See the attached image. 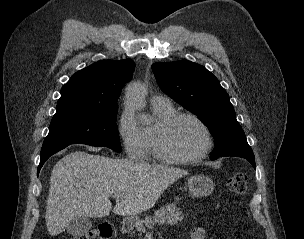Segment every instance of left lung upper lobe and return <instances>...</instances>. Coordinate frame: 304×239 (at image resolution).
I'll return each instance as SVG.
<instances>
[{
    "mask_svg": "<svg viewBox=\"0 0 304 239\" xmlns=\"http://www.w3.org/2000/svg\"><path fill=\"white\" fill-rule=\"evenodd\" d=\"M160 89L210 129L216 142L211 158H254L227 92L204 66L187 60L152 65Z\"/></svg>",
    "mask_w": 304,
    "mask_h": 239,
    "instance_id": "5c2ea615",
    "label": "left lung upper lobe"
}]
</instances>
